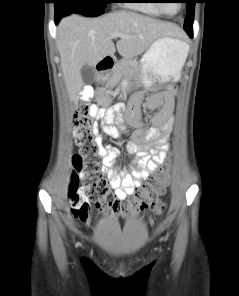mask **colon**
<instances>
[{"mask_svg":"<svg viewBox=\"0 0 239 296\" xmlns=\"http://www.w3.org/2000/svg\"><path fill=\"white\" fill-rule=\"evenodd\" d=\"M92 93V89L86 92L84 89L82 100L73 109L76 141L80 151L72 157L73 171L68 190L72 213L80 220H86L92 205L100 212L114 215L137 212L146 208L159 213L162 203L157 196L165 190L169 160L156 172L153 179L144 184L135 199L127 202L118 201L109 188L101 166L99 144L95 133L96 123L92 116L95 107L88 102ZM80 180L83 181L82 186Z\"/></svg>","mask_w":239,"mask_h":296,"instance_id":"colon-1","label":"colon"}]
</instances>
